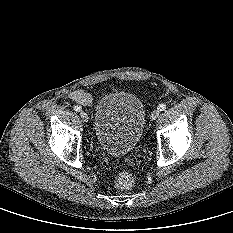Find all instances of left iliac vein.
I'll use <instances>...</instances> for the list:
<instances>
[{
	"mask_svg": "<svg viewBox=\"0 0 233 233\" xmlns=\"http://www.w3.org/2000/svg\"><path fill=\"white\" fill-rule=\"evenodd\" d=\"M158 116H159V110H158V109H155V110L151 113L150 119L153 121V120H155Z\"/></svg>",
	"mask_w": 233,
	"mask_h": 233,
	"instance_id": "left-iliac-vein-1",
	"label": "left iliac vein"
}]
</instances>
